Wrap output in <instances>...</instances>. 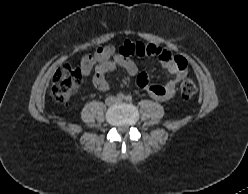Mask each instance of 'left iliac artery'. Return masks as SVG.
<instances>
[{
    "label": "left iliac artery",
    "instance_id": "left-iliac-artery-1",
    "mask_svg": "<svg viewBox=\"0 0 248 194\" xmlns=\"http://www.w3.org/2000/svg\"><path fill=\"white\" fill-rule=\"evenodd\" d=\"M125 100L128 101V102L132 101V96L131 95H127L125 97Z\"/></svg>",
    "mask_w": 248,
    "mask_h": 194
}]
</instances>
